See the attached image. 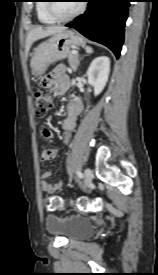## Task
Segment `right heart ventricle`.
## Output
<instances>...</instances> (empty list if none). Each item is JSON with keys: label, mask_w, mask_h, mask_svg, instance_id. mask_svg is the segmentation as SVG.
<instances>
[{"label": "right heart ventricle", "mask_w": 158, "mask_h": 275, "mask_svg": "<svg viewBox=\"0 0 158 275\" xmlns=\"http://www.w3.org/2000/svg\"><path fill=\"white\" fill-rule=\"evenodd\" d=\"M48 0H39L36 5V12L38 20L44 24H54L57 22L48 12L47 3Z\"/></svg>", "instance_id": "e07e8e85"}]
</instances>
